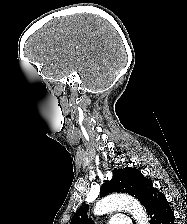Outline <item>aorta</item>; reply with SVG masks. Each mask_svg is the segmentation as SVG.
Returning <instances> with one entry per match:
<instances>
[{
    "label": "aorta",
    "mask_w": 187,
    "mask_h": 224,
    "mask_svg": "<svg viewBox=\"0 0 187 224\" xmlns=\"http://www.w3.org/2000/svg\"><path fill=\"white\" fill-rule=\"evenodd\" d=\"M116 210H125L131 214L137 224H148V216L142 205L133 197L126 195L108 196L97 202L95 215H103Z\"/></svg>",
    "instance_id": "obj_1"
}]
</instances>
